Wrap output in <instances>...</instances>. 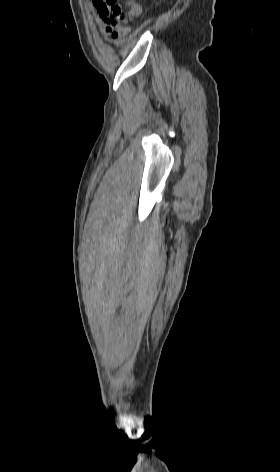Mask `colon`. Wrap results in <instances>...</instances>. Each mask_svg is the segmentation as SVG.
<instances>
[{
	"label": "colon",
	"instance_id": "5ec220e1",
	"mask_svg": "<svg viewBox=\"0 0 280 472\" xmlns=\"http://www.w3.org/2000/svg\"><path fill=\"white\" fill-rule=\"evenodd\" d=\"M93 3L101 18L116 27H125L141 12L136 0L127 2L126 12H123L119 0H93Z\"/></svg>",
	"mask_w": 280,
	"mask_h": 472
}]
</instances>
